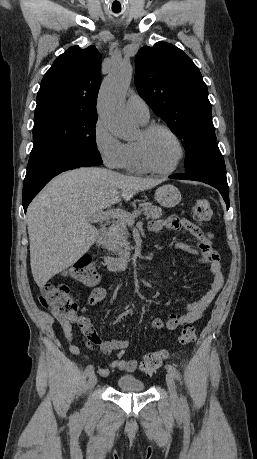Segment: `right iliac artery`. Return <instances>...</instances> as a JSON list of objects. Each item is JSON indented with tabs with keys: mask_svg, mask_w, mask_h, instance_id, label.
I'll return each mask as SVG.
<instances>
[{
	"mask_svg": "<svg viewBox=\"0 0 257 459\" xmlns=\"http://www.w3.org/2000/svg\"><path fill=\"white\" fill-rule=\"evenodd\" d=\"M92 373H94V367L92 365H88L85 369V374L86 376H90Z\"/></svg>",
	"mask_w": 257,
	"mask_h": 459,
	"instance_id": "82829eb1",
	"label": "right iliac artery"
}]
</instances>
